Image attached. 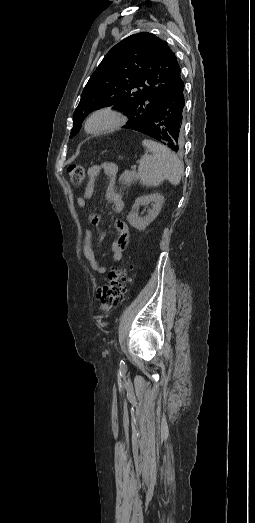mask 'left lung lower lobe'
<instances>
[{
	"instance_id": "0a47b994",
	"label": "left lung lower lobe",
	"mask_w": 255,
	"mask_h": 523,
	"mask_svg": "<svg viewBox=\"0 0 255 523\" xmlns=\"http://www.w3.org/2000/svg\"><path fill=\"white\" fill-rule=\"evenodd\" d=\"M185 89L182 84H178L172 92L166 94L159 109L153 110L156 115H150L149 121L144 125H139L135 129H140L143 134L155 137L159 144L170 147L177 152L181 148L183 137L181 136L184 107L187 105V98L184 96Z\"/></svg>"
}]
</instances>
